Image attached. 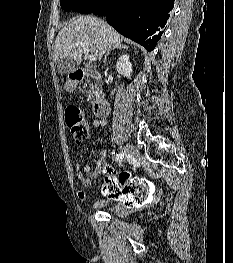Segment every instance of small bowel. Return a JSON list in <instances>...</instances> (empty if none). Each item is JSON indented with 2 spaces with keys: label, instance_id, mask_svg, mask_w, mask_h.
Listing matches in <instances>:
<instances>
[{
  "label": "small bowel",
  "instance_id": "c3829d8e",
  "mask_svg": "<svg viewBox=\"0 0 233 263\" xmlns=\"http://www.w3.org/2000/svg\"><path fill=\"white\" fill-rule=\"evenodd\" d=\"M106 125V121L104 119L96 120L94 121V126L96 127H103ZM102 171H112L104 161V159H99L97 162V166L92 169L89 165L76 166V175L79 181L81 182L82 186L84 188H90L93 184V180L99 177L102 174ZM117 175V174H115ZM119 175V172H118ZM120 176V175H119ZM130 176H135V174H131ZM105 177V176H104ZM162 192L158 191L156 194H154V200H158L161 196ZM77 198L82 202H88L89 197L87 192L84 189H78L76 191ZM109 202H111L110 199L108 200H97V201H91V205L95 209H100L105 207ZM115 205L110 207V211L114 212L115 214L119 216H124L128 212L133 211L137 208H124L123 202H114Z\"/></svg>",
  "mask_w": 233,
  "mask_h": 263
}]
</instances>
